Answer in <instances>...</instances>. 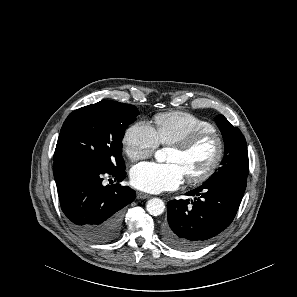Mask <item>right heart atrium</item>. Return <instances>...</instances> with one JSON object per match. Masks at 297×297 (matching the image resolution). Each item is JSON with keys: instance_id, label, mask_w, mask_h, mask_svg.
Here are the masks:
<instances>
[{"instance_id": "1", "label": "right heart atrium", "mask_w": 297, "mask_h": 297, "mask_svg": "<svg viewBox=\"0 0 297 297\" xmlns=\"http://www.w3.org/2000/svg\"><path fill=\"white\" fill-rule=\"evenodd\" d=\"M123 150L131 161L150 157L158 148L159 142L154 130L148 122L137 121L124 133Z\"/></svg>"}]
</instances>
